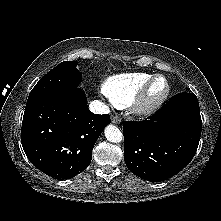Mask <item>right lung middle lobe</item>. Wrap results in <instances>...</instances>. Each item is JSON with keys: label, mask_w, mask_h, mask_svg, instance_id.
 <instances>
[{"label": "right lung middle lobe", "mask_w": 221, "mask_h": 221, "mask_svg": "<svg viewBox=\"0 0 221 221\" xmlns=\"http://www.w3.org/2000/svg\"><path fill=\"white\" fill-rule=\"evenodd\" d=\"M74 61H65L50 70L31 90L28 100L75 89L82 77Z\"/></svg>", "instance_id": "obj_1"}]
</instances>
